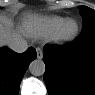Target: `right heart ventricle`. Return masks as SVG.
<instances>
[{"label":"right heart ventricle","mask_w":95,"mask_h":95,"mask_svg":"<svg viewBox=\"0 0 95 95\" xmlns=\"http://www.w3.org/2000/svg\"><path fill=\"white\" fill-rule=\"evenodd\" d=\"M64 20V17L56 15L32 16L25 21V28L34 37L47 38L60 27Z\"/></svg>","instance_id":"e07e8e85"}]
</instances>
